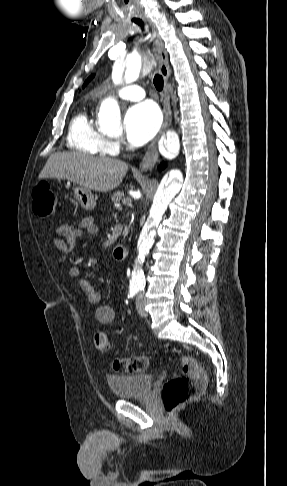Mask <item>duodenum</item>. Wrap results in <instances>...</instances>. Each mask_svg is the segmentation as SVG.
<instances>
[{"mask_svg": "<svg viewBox=\"0 0 287 486\" xmlns=\"http://www.w3.org/2000/svg\"><path fill=\"white\" fill-rule=\"evenodd\" d=\"M129 248L125 244H118L114 248V258L116 260H123L127 257Z\"/></svg>", "mask_w": 287, "mask_h": 486, "instance_id": "obj_1", "label": "duodenum"}]
</instances>
